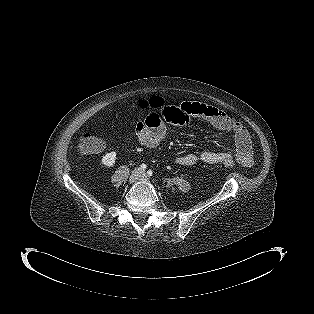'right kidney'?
Returning <instances> with one entry per match:
<instances>
[{
    "label": "right kidney",
    "instance_id": "ca27d5eb",
    "mask_svg": "<svg viewBox=\"0 0 314 314\" xmlns=\"http://www.w3.org/2000/svg\"><path fill=\"white\" fill-rule=\"evenodd\" d=\"M116 155L117 154L114 151L105 154L102 158V164H104L106 167H112L116 162Z\"/></svg>",
    "mask_w": 314,
    "mask_h": 314
}]
</instances>
